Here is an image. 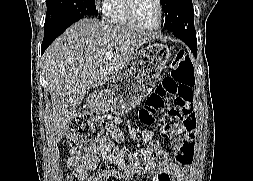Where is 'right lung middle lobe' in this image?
Returning a JSON list of instances; mask_svg holds the SVG:
<instances>
[{
  "label": "right lung middle lobe",
  "mask_w": 253,
  "mask_h": 181,
  "mask_svg": "<svg viewBox=\"0 0 253 181\" xmlns=\"http://www.w3.org/2000/svg\"><path fill=\"white\" fill-rule=\"evenodd\" d=\"M44 32L57 29L85 15H97L95 0H46Z\"/></svg>",
  "instance_id": "dd1d6c3e"
}]
</instances>
